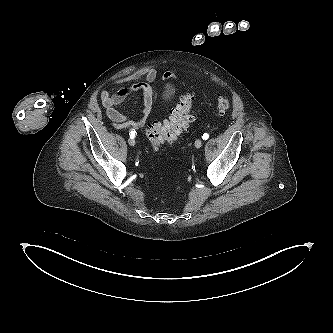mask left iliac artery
Returning a JSON list of instances; mask_svg holds the SVG:
<instances>
[{"mask_svg":"<svg viewBox=\"0 0 333 333\" xmlns=\"http://www.w3.org/2000/svg\"><path fill=\"white\" fill-rule=\"evenodd\" d=\"M208 138H209L208 133H204L203 136H202V139L203 140H207Z\"/></svg>","mask_w":333,"mask_h":333,"instance_id":"44dca946","label":"left iliac artery"}]
</instances>
